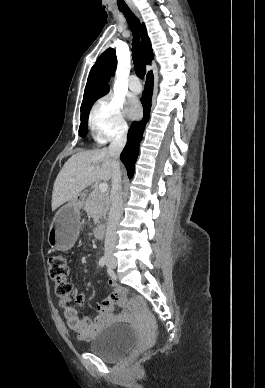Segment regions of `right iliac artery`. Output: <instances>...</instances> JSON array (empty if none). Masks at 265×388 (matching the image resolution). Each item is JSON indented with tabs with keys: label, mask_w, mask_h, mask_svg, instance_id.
<instances>
[{
	"label": "right iliac artery",
	"mask_w": 265,
	"mask_h": 388,
	"mask_svg": "<svg viewBox=\"0 0 265 388\" xmlns=\"http://www.w3.org/2000/svg\"><path fill=\"white\" fill-rule=\"evenodd\" d=\"M99 265L101 267H104L106 265V257H101L100 260H99Z\"/></svg>",
	"instance_id": "right-iliac-artery-1"
}]
</instances>
